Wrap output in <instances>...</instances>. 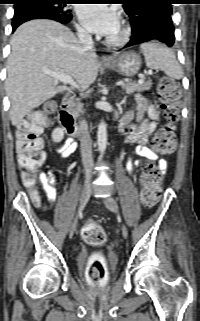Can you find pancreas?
Segmentation results:
<instances>
[{"instance_id":"1","label":"pancreas","mask_w":200,"mask_h":321,"mask_svg":"<svg viewBox=\"0 0 200 321\" xmlns=\"http://www.w3.org/2000/svg\"><path fill=\"white\" fill-rule=\"evenodd\" d=\"M151 85H152L151 80L142 81V82L136 83V82H133V81H131L129 79H125L124 83L122 85V88L126 91V93L131 94V93H134V92L148 91V90H150ZM82 112H84L83 104L80 103V102H77L74 105V108L72 109V113L75 116H78L79 113H82Z\"/></svg>"}]
</instances>
